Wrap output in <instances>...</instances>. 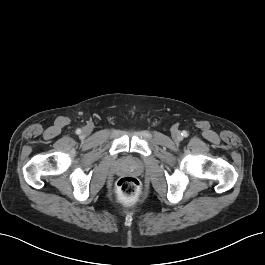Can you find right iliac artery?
<instances>
[{
  "mask_svg": "<svg viewBox=\"0 0 265 265\" xmlns=\"http://www.w3.org/2000/svg\"><path fill=\"white\" fill-rule=\"evenodd\" d=\"M76 133H77V134H80V133H81V130H80V129H77V130H76Z\"/></svg>",
  "mask_w": 265,
  "mask_h": 265,
  "instance_id": "obj_1",
  "label": "right iliac artery"
}]
</instances>
